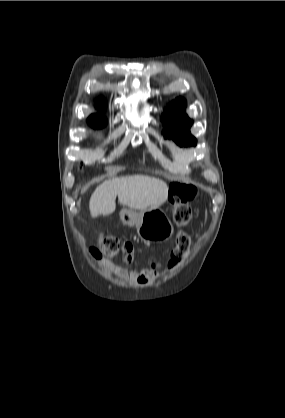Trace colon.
Here are the masks:
<instances>
[{
	"instance_id": "1",
	"label": "colon",
	"mask_w": 285,
	"mask_h": 418,
	"mask_svg": "<svg viewBox=\"0 0 285 418\" xmlns=\"http://www.w3.org/2000/svg\"><path fill=\"white\" fill-rule=\"evenodd\" d=\"M193 200L192 190L183 185L175 184L171 190L172 221L177 226L176 247L171 253L169 265L183 260L189 250L190 236L188 227L192 221L191 201ZM98 246L93 249L97 259H103L121 254L126 262L133 258V244L130 240H121L112 235L100 234L97 239ZM160 270V269H159Z\"/></svg>"
}]
</instances>
